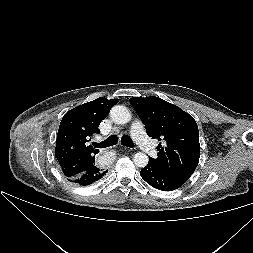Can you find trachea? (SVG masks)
I'll list each match as a JSON object with an SVG mask.
<instances>
[{
    "instance_id": "3493384b",
    "label": "trachea",
    "mask_w": 253,
    "mask_h": 253,
    "mask_svg": "<svg viewBox=\"0 0 253 253\" xmlns=\"http://www.w3.org/2000/svg\"><path fill=\"white\" fill-rule=\"evenodd\" d=\"M117 142H118L117 136L116 135H111L105 141H102L101 143H95L94 146L96 148H106V147L116 145ZM121 144L124 145V146L130 147V148L134 146V143L131 140V138L129 136H126V135L122 136Z\"/></svg>"
}]
</instances>
